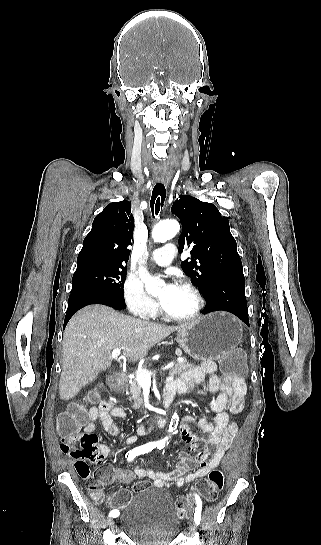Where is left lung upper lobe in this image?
<instances>
[{"instance_id":"obj_1","label":"left lung upper lobe","mask_w":321,"mask_h":545,"mask_svg":"<svg viewBox=\"0 0 321 545\" xmlns=\"http://www.w3.org/2000/svg\"><path fill=\"white\" fill-rule=\"evenodd\" d=\"M182 223L179 247L191 248V260L182 262L183 271L206 293L210 283L217 277L242 271L227 217L211 203L202 202L189 195H182L171 208Z\"/></svg>"}]
</instances>
